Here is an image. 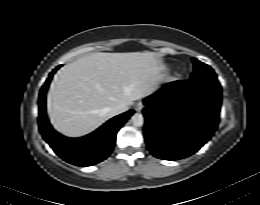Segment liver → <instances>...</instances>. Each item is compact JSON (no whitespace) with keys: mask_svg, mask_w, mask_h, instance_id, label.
Returning a JSON list of instances; mask_svg holds the SVG:
<instances>
[{"mask_svg":"<svg viewBox=\"0 0 260 205\" xmlns=\"http://www.w3.org/2000/svg\"><path fill=\"white\" fill-rule=\"evenodd\" d=\"M154 52L95 53L65 65L48 95L54 128L69 137L91 133L114 115L111 108L153 94L162 79Z\"/></svg>","mask_w":260,"mask_h":205,"instance_id":"obj_1","label":"liver"}]
</instances>
